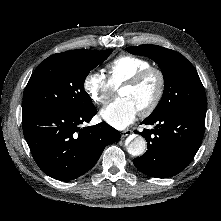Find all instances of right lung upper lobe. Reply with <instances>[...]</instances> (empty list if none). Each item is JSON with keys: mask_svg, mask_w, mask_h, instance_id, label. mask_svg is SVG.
<instances>
[{"mask_svg": "<svg viewBox=\"0 0 221 221\" xmlns=\"http://www.w3.org/2000/svg\"><path fill=\"white\" fill-rule=\"evenodd\" d=\"M80 51H83V49L71 50V52H80Z\"/></svg>", "mask_w": 221, "mask_h": 221, "instance_id": "obj_1", "label": "right lung upper lobe"}]
</instances>
